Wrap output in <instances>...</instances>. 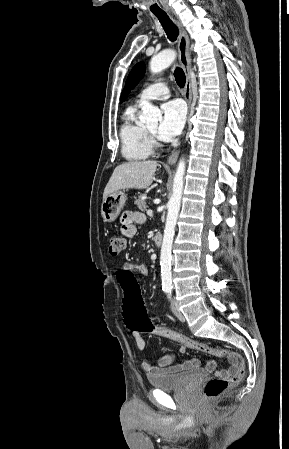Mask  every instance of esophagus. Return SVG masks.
<instances>
[{
  "label": "esophagus",
  "instance_id": "1",
  "mask_svg": "<svg viewBox=\"0 0 289 449\" xmlns=\"http://www.w3.org/2000/svg\"><path fill=\"white\" fill-rule=\"evenodd\" d=\"M179 27L180 35L178 41V52H179V61L182 65L185 74H186V83L184 87V97L188 105V114L191 108L192 101V89H191V77H190V65H191V53H190V43L188 39V35L184 28L181 26L179 22H177ZM179 155V150L173 152L168 158V164L172 165L177 161Z\"/></svg>",
  "mask_w": 289,
  "mask_h": 449
}]
</instances>
